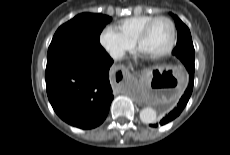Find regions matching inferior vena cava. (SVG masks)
Here are the masks:
<instances>
[{
	"label": "inferior vena cava",
	"mask_w": 230,
	"mask_h": 155,
	"mask_svg": "<svg viewBox=\"0 0 230 155\" xmlns=\"http://www.w3.org/2000/svg\"><path fill=\"white\" fill-rule=\"evenodd\" d=\"M124 55V51L121 50V49H116V50H113L110 52V56L113 58V59H120L122 58Z\"/></svg>",
	"instance_id": "obj_1"
}]
</instances>
